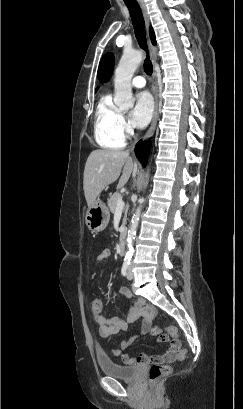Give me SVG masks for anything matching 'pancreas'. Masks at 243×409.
I'll use <instances>...</instances> for the list:
<instances>
[{"label": "pancreas", "mask_w": 243, "mask_h": 409, "mask_svg": "<svg viewBox=\"0 0 243 409\" xmlns=\"http://www.w3.org/2000/svg\"><path fill=\"white\" fill-rule=\"evenodd\" d=\"M121 197V194L119 192H115L113 195L110 196V198L108 199V207L110 212L115 213L116 211V205H117V200ZM125 215L123 218V223L122 225L125 226L126 223V217H127V208L124 211Z\"/></svg>", "instance_id": "pancreas-1"}]
</instances>
